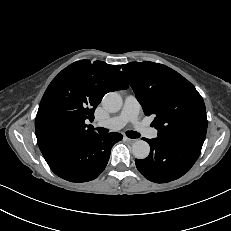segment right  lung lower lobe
Wrapping results in <instances>:
<instances>
[{"instance_id":"1","label":"right lung lower lobe","mask_w":231,"mask_h":231,"mask_svg":"<svg viewBox=\"0 0 231 231\" xmlns=\"http://www.w3.org/2000/svg\"><path fill=\"white\" fill-rule=\"evenodd\" d=\"M123 136L116 132L95 134L82 142L58 147L44 154L51 170L70 182L97 178L105 169L113 145Z\"/></svg>"}]
</instances>
